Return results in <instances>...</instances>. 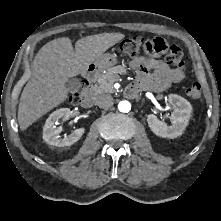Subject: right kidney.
I'll use <instances>...</instances> for the list:
<instances>
[{
	"mask_svg": "<svg viewBox=\"0 0 221 221\" xmlns=\"http://www.w3.org/2000/svg\"><path fill=\"white\" fill-rule=\"evenodd\" d=\"M70 115L71 111L68 108H61L50 114L43 127V139L47 144L58 147L70 146L81 138L85 132V128L76 129L69 136L64 138L60 137L62 127L56 126L58 120L62 119L65 121L70 117Z\"/></svg>",
	"mask_w": 221,
	"mask_h": 221,
	"instance_id": "1",
	"label": "right kidney"
}]
</instances>
